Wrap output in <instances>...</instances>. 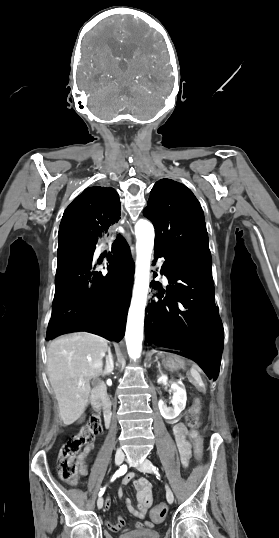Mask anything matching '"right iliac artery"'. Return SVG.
Masks as SVG:
<instances>
[{
	"label": "right iliac artery",
	"mask_w": 279,
	"mask_h": 538,
	"mask_svg": "<svg viewBox=\"0 0 279 538\" xmlns=\"http://www.w3.org/2000/svg\"><path fill=\"white\" fill-rule=\"evenodd\" d=\"M127 471V466L126 465H122L117 471L116 473L114 474V476L112 477L111 481L115 480L117 477L121 476V475H124ZM105 491V487L101 488L100 492H99V496H102L103 493Z\"/></svg>",
	"instance_id": "82829eb1"
}]
</instances>
